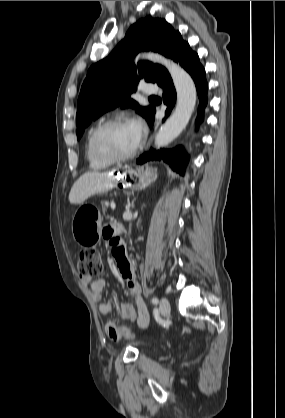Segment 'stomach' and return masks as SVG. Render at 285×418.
Masks as SVG:
<instances>
[{
	"label": "stomach",
	"instance_id": "0dacf381",
	"mask_svg": "<svg viewBox=\"0 0 285 418\" xmlns=\"http://www.w3.org/2000/svg\"><path fill=\"white\" fill-rule=\"evenodd\" d=\"M119 179L126 188L132 190L141 189L157 179V169L147 166L146 168H126L120 173ZM90 223L85 217L82 208H79L72 219V233L74 238L82 245L89 236L95 238L100 235L99 221Z\"/></svg>",
	"mask_w": 285,
	"mask_h": 418
}]
</instances>
